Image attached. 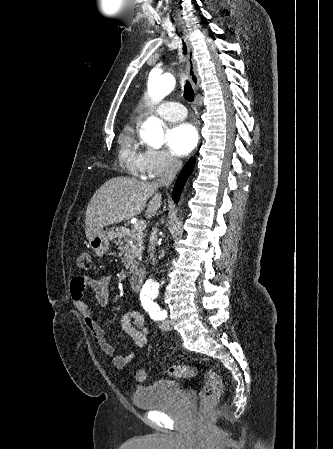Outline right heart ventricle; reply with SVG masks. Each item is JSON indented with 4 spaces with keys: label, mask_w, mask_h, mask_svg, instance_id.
Here are the masks:
<instances>
[{
    "label": "right heart ventricle",
    "mask_w": 333,
    "mask_h": 449,
    "mask_svg": "<svg viewBox=\"0 0 333 449\" xmlns=\"http://www.w3.org/2000/svg\"><path fill=\"white\" fill-rule=\"evenodd\" d=\"M120 156L126 161L130 169L137 175H142L139 166L140 153L137 148L134 132L132 130H125L120 138Z\"/></svg>",
    "instance_id": "right-heart-ventricle-1"
}]
</instances>
